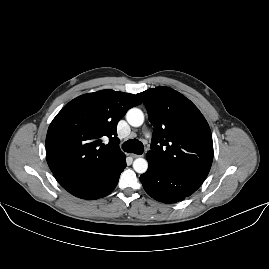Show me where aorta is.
Returning <instances> with one entry per match:
<instances>
[{"label":"aorta","instance_id":"1","mask_svg":"<svg viewBox=\"0 0 269 269\" xmlns=\"http://www.w3.org/2000/svg\"><path fill=\"white\" fill-rule=\"evenodd\" d=\"M127 122L133 127H139L144 122V114L138 108L130 109L126 114ZM133 169L137 173H145L148 169V162L144 158H137L133 162Z\"/></svg>","mask_w":269,"mask_h":269}]
</instances>
